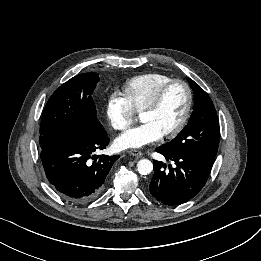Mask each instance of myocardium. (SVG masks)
Masks as SVG:
<instances>
[{"label": "myocardium", "mask_w": 261, "mask_h": 261, "mask_svg": "<svg viewBox=\"0 0 261 261\" xmlns=\"http://www.w3.org/2000/svg\"><path fill=\"white\" fill-rule=\"evenodd\" d=\"M175 85H181L182 87H184L186 94H187V104H186V108L183 113V116H182L181 120L179 121V123L176 125V127L162 136L165 139H172V138L178 136L183 131V129L185 128V126L187 125V123L189 121V118H190L191 112H192V107H193V91H192L191 86L185 80L172 79L170 82L165 84L158 91V93L156 94L153 101L149 105H147L141 112V114H142V113H147V112H155V111L159 110L167 93Z\"/></svg>", "instance_id": "f54148a6"}]
</instances>
